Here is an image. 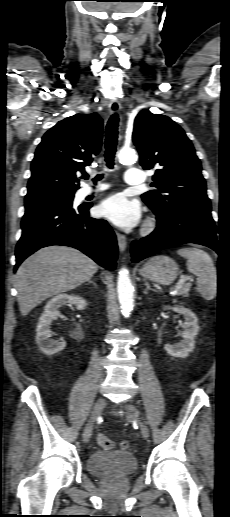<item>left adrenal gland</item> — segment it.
<instances>
[{
    "mask_svg": "<svg viewBox=\"0 0 230 517\" xmlns=\"http://www.w3.org/2000/svg\"><path fill=\"white\" fill-rule=\"evenodd\" d=\"M145 286H146V289L144 290V294H147L149 290H153V291H154V289H152V288L150 287L149 283H148V282H146V281H145Z\"/></svg>",
    "mask_w": 230,
    "mask_h": 517,
    "instance_id": "a2214340",
    "label": "left adrenal gland"
}]
</instances>
